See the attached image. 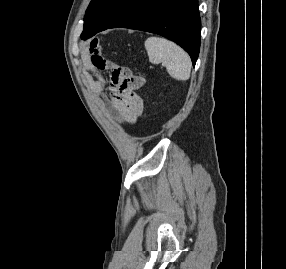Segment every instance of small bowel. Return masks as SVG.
<instances>
[{
  "label": "small bowel",
  "instance_id": "1",
  "mask_svg": "<svg viewBox=\"0 0 286 269\" xmlns=\"http://www.w3.org/2000/svg\"><path fill=\"white\" fill-rule=\"evenodd\" d=\"M86 56L89 57V61L85 66L88 71L86 73V81L93 93L102 102V105L109 118L119 124H134L143 110H124L121 95H118V91L116 88H114L112 83V78L114 75H111L107 86L108 95L103 96V92L106 88V80L102 72L107 70L111 71L112 66L117 64L106 60L102 56L98 42L90 43L86 51Z\"/></svg>",
  "mask_w": 286,
  "mask_h": 269
}]
</instances>
